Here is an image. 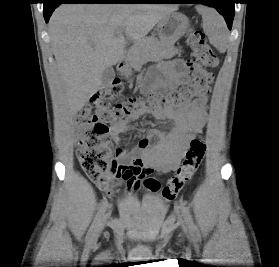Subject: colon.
<instances>
[{"label":"colon","mask_w":279,"mask_h":267,"mask_svg":"<svg viewBox=\"0 0 279 267\" xmlns=\"http://www.w3.org/2000/svg\"><path fill=\"white\" fill-rule=\"evenodd\" d=\"M187 43L191 48L188 63L193 69L191 83L166 93L153 92L148 99L129 97L119 101L123 94V85L115 80L102 88L88 105L79 109L75 116L78 127L76 140L78 160L88 177L98 182L105 176L128 179L141 173L142 165L134 161L123 162L124 150L113 149L109 144V134L114 125L121 123L129 114L140 107H178L183 106L203 94L212 81V74L204 67H215L217 57L198 29H189ZM206 152V143L202 136L194 138L186 152L182 165L162 189L165 200H174L185 184L199 168ZM144 185L152 191L160 188L154 179H145Z\"/></svg>","instance_id":"colon-1"}]
</instances>
